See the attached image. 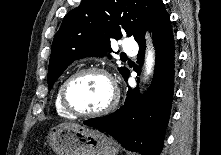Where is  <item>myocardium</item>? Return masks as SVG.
<instances>
[{
	"label": "myocardium",
	"instance_id": "1",
	"mask_svg": "<svg viewBox=\"0 0 221 155\" xmlns=\"http://www.w3.org/2000/svg\"><path fill=\"white\" fill-rule=\"evenodd\" d=\"M99 74L102 75L103 77L106 78V80L108 81L110 87H111V98L110 101L108 102V104L95 112H79L77 110H75L69 103L68 98H67V92H68V88L71 85V83L77 79L78 77L85 75V74ZM60 101H61V105L63 106V108L72 116L74 117H81V118H97V117H102L105 116L107 114H109L110 112H112L119 101V89L117 86V83L115 81V79L113 78V76L104 68L101 67H96V66H91V67H85L82 68L78 71H76L75 73H73L72 75H70L62 84L61 90H60Z\"/></svg>",
	"mask_w": 221,
	"mask_h": 155
}]
</instances>
